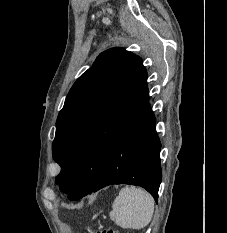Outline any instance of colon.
<instances>
[{
  "mask_svg": "<svg viewBox=\"0 0 227 233\" xmlns=\"http://www.w3.org/2000/svg\"><path fill=\"white\" fill-rule=\"evenodd\" d=\"M89 233H119V232L114 229H104V230L90 231Z\"/></svg>",
  "mask_w": 227,
  "mask_h": 233,
  "instance_id": "5ec220e1",
  "label": "colon"
}]
</instances>
